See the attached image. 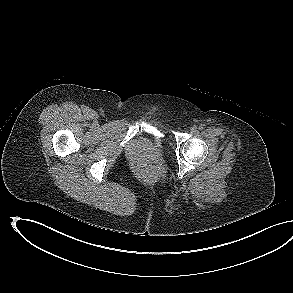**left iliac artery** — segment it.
<instances>
[{"label": "left iliac artery", "mask_w": 293, "mask_h": 293, "mask_svg": "<svg viewBox=\"0 0 293 293\" xmlns=\"http://www.w3.org/2000/svg\"><path fill=\"white\" fill-rule=\"evenodd\" d=\"M203 128H204L203 125L199 126V130H203Z\"/></svg>", "instance_id": "left-iliac-artery-1"}]
</instances>
